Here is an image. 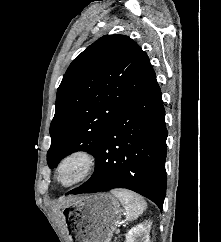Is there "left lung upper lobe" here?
Segmentation results:
<instances>
[{"label": "left lung upper lobe", "instance_id": "obj_1", "mask_svg": "<svg viewBox=\"0 0 221 242\" xmlns=\"http://www.w3.org/2000/svg\"><path fill=\"white\" fill-rule=\"evenodd\" d=\"M155 79L147 54L127 36H103L86 48L57 90L50 168L76 151L95 156L107 128Z\"/></svg>", "mask_w": 221, "mask_h": 242}]
</instances>
